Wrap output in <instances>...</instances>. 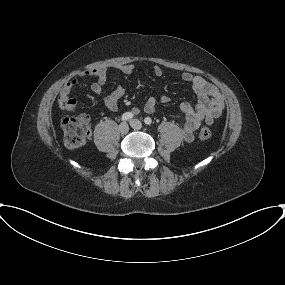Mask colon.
I'll return each mask as SVG.
<instances>
[{"instance_id": "obj_1", "label": "colon", "mask_w": 285, "mask_h": 285, "mask_svg": "<svg viewBox=\"0 0 285 285\" xmlns=\"http://www.w3.org/2000/svg\"><path fill=\"white\" fill-rule=\"evenodd\" d=\"M65 145L70 149L84 147L90 136V125L86 115L65 117L61 122ZM211 137V130L203 126L199 131V138L207 140Z\"/></svg>"}]
</instances>
